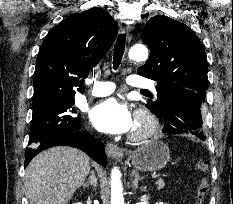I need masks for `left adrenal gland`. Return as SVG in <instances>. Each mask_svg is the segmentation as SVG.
Segmentation results:
<instances>
[{"mask_svg": "<svg viewBox=\"0 0 233 204\" xmlns=\"http://www.w3.org/2000/svg\"><path fill=\"white\" fill-rule=\"evenodd\" d=\"M131 178H132V188L136 190L138 188V183L140 180H143V177L139 176V173L137 171H133L131 173ZM146 187L141 188V191H145Z\"/></svg>", "mask_w": 233, "mask_h": 204, "instance_id": "a2214340", "label": "left adrenal gland"}]
</instances>
